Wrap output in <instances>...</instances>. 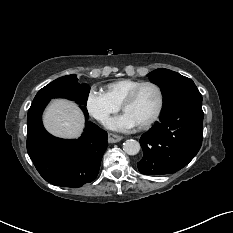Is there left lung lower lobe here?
<instances>
[{
  "label": "left lung lower lobe",
  "mask_w": 233,
  "mask_h": 233,
  "mask_svg": "<svg viewBox=\"0 0 233 233\" xmlns=\"http://www.w3.org/2000/svg\"><path fill=\"white\" fill-rule=\"evenodd\" d=\"M202 100H189L162 111L160 121L140 138L142 174L174 173L198 153L203 138Z\"/></svg>",
  "instance_id": "left-lung-lower-lobe-1"
}]
</instances>
